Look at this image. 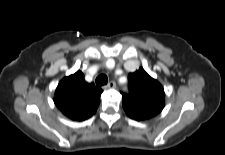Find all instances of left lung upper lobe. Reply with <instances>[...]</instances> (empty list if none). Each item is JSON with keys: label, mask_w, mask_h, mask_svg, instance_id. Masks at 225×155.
I'll use <instances>...</instances> for the list:
<instances>
[{"label": "left lung upper lobe", "mask_w": 225, "mask_h": 155, "mask_svg": "<svg viewBox=\"0 0 225 155\" xmlns=\"http://www.w3.org/2000/svg\"><path fill=\"white\" fill-rule=\"evenodd\" d=\"M129 93H122L126 114L137 121L150 119L164 108L165 93L162 85L140 68L128 75Z\"/></svg>", "instance_id": "left-lung-upper-lobe-1"}]
</instances>
